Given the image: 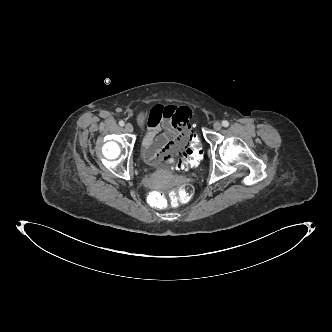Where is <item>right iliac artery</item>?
<instances>
[{
  "mask_svg": "<svg viewBox=\"0 0 332 332\" xmlns=\"http://www.w3.org/2000/svg\"><path fill=\"white\" fill-rule=\"evenodd\" d=\"M124 124H125L124 121H122V120L119 121V125H120V126H124Z\"/></svg>",
  "mask_w": 332,
  "mask_h": 332,
  "instance_id": "right-iliac-artery-1",
  "label": "right iliac artery"
}]
</instances>
